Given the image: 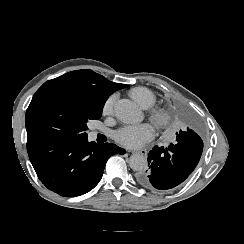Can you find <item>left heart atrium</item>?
<instances>
[{
	"label": "left heart atrium",
	"mask_w": 244,
	"mask_h": 244,
	"mask_svg": "<svg viewBox=\"0 0 244 244\" xmlns=\"http://www.w3.org/2000/svg\"><path fill=\"white\" fill-rule=\"evenodd\" d=\"M155 138V130L149 124L125 127L114 134V139L129 148H140Z\"/></svg>",
	"instance_id": "left-heart-atrium-1"
}]
</instances>
